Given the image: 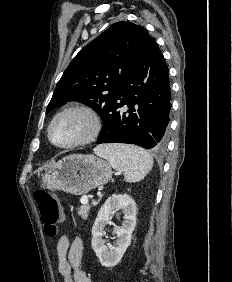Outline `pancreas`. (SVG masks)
<instances>
[{
	"instance_id": "obj_1",
	"label": "pancreas",
	"mask_w": 232,
	"mask_h": 282,
	"mask_svg": "<svg viewBox=\"0 0 232 282\" xmlns=\"http://www.w3.org/2000/svg\"><path fill=\"white\" fill-rule=\"evenodd\" d=\"M90 208L91 206L88 204H84L80 206V208L78 209V214L81 216L82 219L84 220L87 219Z\"/></svg>"
}]
</instances>
